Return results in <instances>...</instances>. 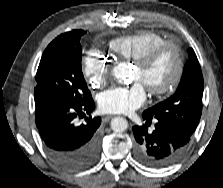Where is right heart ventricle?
<instances>
[{"label":"right heart ventricle","instance_id":"1","mask_svg":"<svg viewBox=\"0 0 223 188\" xmlns=\"http://www.w3.org/2000/svg\"><path fill=\"white\" fill-rule=\"evenodd\" d=\"M163 41L165 38L161 34L146 30L114 38L108 43V47L119 57L135 61Z\"/></svg>","mask_w":223,"mask_h":188}]
</instances>
